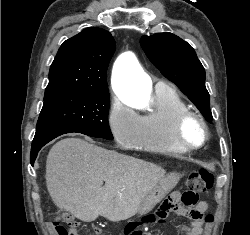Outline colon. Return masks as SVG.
<instances>
[{"label":"colon","instance_id":"obj_1","mask_svg":"<svg viewBox=\"0 0 250 235\" xmlns=\"http://www.w3.org/2000/svg\"><path fill=\"white\" fill-rule=\"evenodd\" d=\"M213 185V175L206 169H198L190 173L186 179V189L182 194L181 201L185 207L192 210L198 202L199 194L204 193L211 189ZM160 209L153 214L148 220L150 221H159L158 215ZM190 217L196 218L199 214L192 210L189 214ZM212 219L211 215H208L205 220L209 222ZM61 221L67 223V228L60 224V222H54L56 231L58 235H74L78 227V222L75 221L72 217L66 216L61 219ZM142 235V234H140Z\"/></svg>","mask_w":250,"mask_h":235}]
</instances>
